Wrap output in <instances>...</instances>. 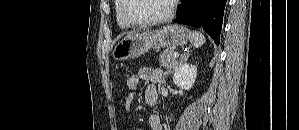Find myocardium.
<instances>
[{"label": "myocardium", "instance_id": "1", "mask_svg": "<svg viewBox=\"0 0 299 130\" xmlns=\"http://www.w3.org/2000/svg\"><path fill=\"white\" fill-rule=\"evenodd\" d=\"M129 2H130V0H123L122 17L128 24H130L132 26H140V27L156 25V24H160V23H164V22L168 21L169 19L172 18L174 11H175L176 3H177V1H175V0L170 1V5H169L167 12L161 16H158V17H155L152 19H148V20H136L128 14Z\"/></svg>", "mask_w": 299, "mask_h": 130}]
</instances>
